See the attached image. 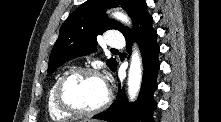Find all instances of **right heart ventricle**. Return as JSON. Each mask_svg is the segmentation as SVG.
Wrapping results in <instances>:
<instances>
[{"label":"right heart ventricle","instance_id":"obj_1","mask_svg":"<svg viewBox=\"0 0 221 122\" xmlns=\"http://www.w3.org/2000/svg\"><path fill=\"white\" fill-rule=\"evenodd\" d=\"M63 74H65V73L58 75V77L53 82V84L48 92L47 109H48V113H49L50 117L55 121L65 120V119H68L69 117H71L70 114H67V113L61 111L55 103V96H54L55 87L57 85L58 80L61 78V76Z\"/></svg>","mask_w":221,"mask_h":122}]
</instances>
